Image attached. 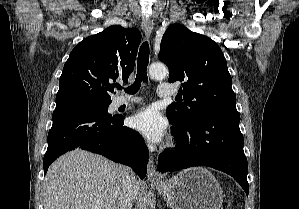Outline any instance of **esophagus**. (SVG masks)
I'll return each instance as SVG.
<instances>
[{"mask_svg": "<svg viewBox=\"0 0 299 209\" xmlns=\"http://www.w3.org/2000/svg\"><path fill=\"white\" fill-rule=\"evenodd\" d=\"M142 29L146 35L147 38H150L152 30H153V24L152 21L149 18H144L141 23ZM147 177L149 180H161L160 175L158 174L155 163H154V157L152 154L149 156L148 160V169H147Z\"/></svg>", "mask_w": 299, "mask_h": 209, "instance_id": "obj_1", "label": "esophagus"}]
</instances>
